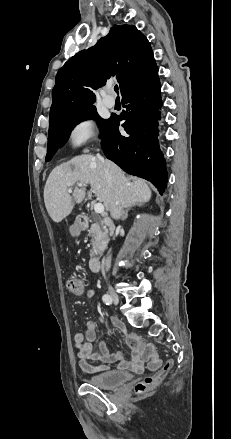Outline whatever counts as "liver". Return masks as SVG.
Returning <instances> with one entry per match:
<instances>
[{
	"mask_svg": "<svg viewBox=\"0 0 231 439\" xmlns=\"http://www.w3.org/2000/svg\"><path fill=\"white\" fill-rule=\"evenodd\" d=\"M110 165L113 188L108 185L105 165L95 156L83 154L55 167L50 173L44 188V202L51 219L59 223L73 210L75 203H81L86 193L74 187L72 195L68 192L75 184H89L97 200L103 202L112 218L119 219L123 208L138 202H148L151 190L146 181L137 179L130 182L124 172L114 163Z\"/></svg>",
	"mask_w": 231,
	"mask_h": 439,
	"instance_id": "1",
	"label": "liver"
}]
</instances>
